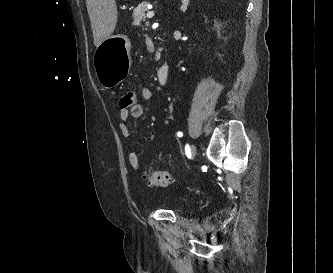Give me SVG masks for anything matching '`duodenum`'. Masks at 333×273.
<instances>
[{"instance_id":"410a0bca","label":"duodenum","mask_w":333,"mask_h":273,"mask_svg":"<svg viewBox=\"0 0 333 273\" xmlns=\"http://www.w3.org/2000/svg\"><path fill=\"white\" fill-rule=\"evenodd\" d=\"M169 76H170V67L168 64L162 65L157 70V79L160 85L162 86L166 85L168 83Z\"/></svg>"}]
</instances>
